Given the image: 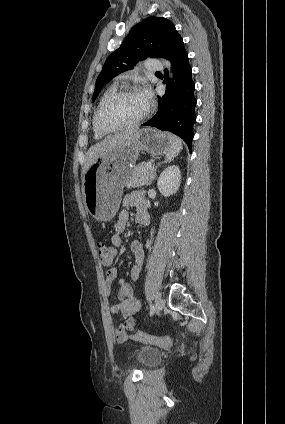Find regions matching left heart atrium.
Listing matches in <instances>:
<instances>
[{"label":"left heart atrium","instance_id":"left-heart-atrium-1","mask_svg":"<svg viewBox=\"0 0 285 424\" xmlns=\"http://www.w3.org/2000/svg\"><path fill=\"white\" fill-rule=\"evenodd\" d=\"M140 96L143 99L146 107L149 108V106L152 103V92H151V90L148 87L144 88L141 91Z\"/></svg>","mask_w":285,"mask_h":424}]
</instances>
